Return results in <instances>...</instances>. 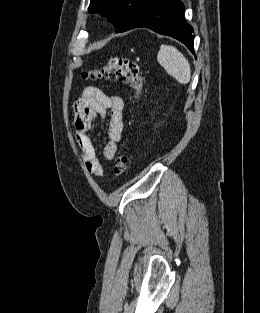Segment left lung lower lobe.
Wrapping results in <instances>:
<instances>
[{
  "label": "left lung lower lobe",
  "mask_w": 260,
  "mask_h": 313,
  "mask_svg": "<svg viewBox=\"0 0 260 313\" xmlns=\"http://www.w3.org/2000/svg\"><path fill=\"white\" fill-rule=\"evenodd\" d=\"M139 27L171 36L194 53L193 28L184 19V5L180 0H152L125 31Z\"/></svg>",
  "instance_id": "0a47b994"
}]
</instances>
